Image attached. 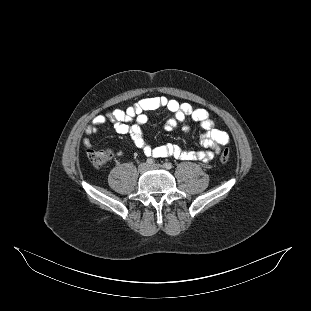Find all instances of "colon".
Instances as JSON below:
<instances>
[{"instance_id":"5ec220e1","label":"colon","mask_w":311,"mask_h":311,"mask_svg":"<svg viewBox=\"0 0 311 311\" xmlns=\"http://www.w3.org/2000/svg\"><path fill=\"white\" fill-rule=\"evenodd\" d=\"M111 154L107 150L95 151L89 150L88 158L91 164L96 168H101L105 166L108 161L110 160ZM230 158V151L229 149H224L220 155V160L222 162H227Z\"/></svg>"}]
</instances>
